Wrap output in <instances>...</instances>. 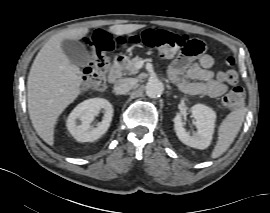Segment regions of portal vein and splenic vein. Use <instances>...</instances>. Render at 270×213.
<instances>
[{
    "mask_svg": "<svg viewBox=\"0 0 270 213\" xmlns=\"http://www.w3.org/2000/svg\"><path fill=\"white\" fill-rule=\"evenodd\" d=\"M136 67H137L138 69L141 68V67H142V63H141V62H138L137 65H136Z\"/></svg>",
    "mask_w": 270,
    "mask_h": 213,
    "instance_id": "1",
    "label": "portal vein and splenic vein"
}]
</instances>
